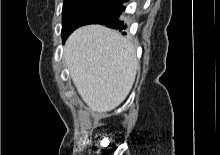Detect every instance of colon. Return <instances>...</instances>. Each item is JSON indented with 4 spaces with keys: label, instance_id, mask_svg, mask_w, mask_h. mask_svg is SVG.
<instances>
[{
    "label": "colon",
    "instance_id": "1",
    "mask_svg": "<svg viewBox=\"0 0 220 155\" xmlns=\"http://www.w3.org/2000/svg\"><path fill=\"white\" fill-rule=\"evenodd\" d=\"M98 146H99V148H104L105 145H104V143H99Z\"/></svg>",
    "mask_w": 220,
    "mask_h": 155
}]
</instances>
